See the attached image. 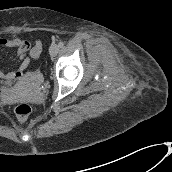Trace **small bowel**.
Masks as SVG:
<instances>
[{
  "label": "small bowel",
  "instance_id": "c3829d8e",
  "mask_svg": "<svg viewBox=\"0 0 172 172\" xmlns=\"http://www.w3.org/2000/svg\"><path fill=\"white\" fill-rule=\"evenodd\" d=\"M0 49L2 50H16L15 61L17 68L13 70H0V79L6 83H12L18 80L29 64L28 55L36 59L42 52L41 41L36 40L32 45L26 39L20 38H3L0 37Z\"/></svg>",
  "mask_w": 172,
  "mask_h": 172
}]
</instances>
